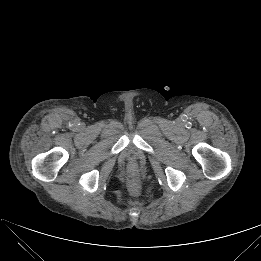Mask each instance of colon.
I'll use <instances>...</instances> for the list:
<instances>
[{
  "instance_id": "1",
  "label": "colon",
  "mask_w": 261,
  "mask_h": 261,
  "mask_svg": "<svg viewBox=\"0 0 261 261\" xmlns=\"http://www.w3.org/2000/svg\"><path fill=\"white\" fill-rule=\"evenodd\" d=\"M129 179L132 183H136L137 182V179H138V176L135 172H132L130 175H129Z\"/></svg>"
}]
</instances>
